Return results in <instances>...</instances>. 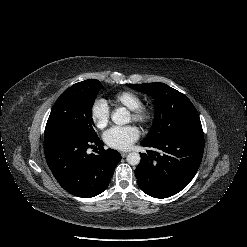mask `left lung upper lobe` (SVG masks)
Instances as JSON below:
<instances>
[{
	"label": "left lung upper lobe",
	"mask_w": 247,
	"mask_h": 247,
	"mask_svg": "<svg viewBox=\"0 0 247 247\" xmlns=\"http://www.w3.org/2000/svg\"><path fill=\"white\" fill-rule=\"evenodd\" d=\"M127 86L155 100L154 122L144 142H162L176 137L204 139L198 112L184 94L159 82Z\"/></svg>",
	"instance_id": "1"
}]
</instances>
